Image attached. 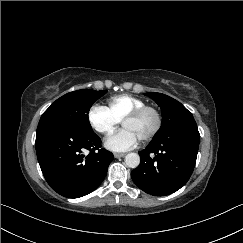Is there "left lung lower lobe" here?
I'll return each instance as SVG.
<instances>
[{
	"label": "left lung lower lobe",
	"mask_w": 243,
	"mask_h": 243,
	"mask_svg": "<svg viewBox=\"0 0 243 243\" xmlns=\"http://www.w3.org/2000/svg\"><path fill=\"white\" fill-rule=\"evenodd\" d=\"M200 134L195 121L153 138L131 172L134 183L154 196L171 194L189 180L197 158Z\"/></svg>",
	"instance_id": "1"
}]
</instances>
